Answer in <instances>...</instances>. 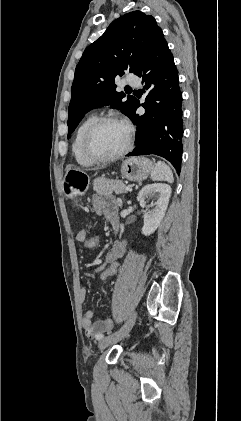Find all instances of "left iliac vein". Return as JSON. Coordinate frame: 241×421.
Listing matches in <instances>:
<instances>
[{
  "mask_svg": "<svg viewBox=\"0 0 241 421\" xmlns=\"http://www.w3.org/2000/svg\"><path fill=\"white\" fill-rule=\"evenodd\" d=\"M136 319L137 313L134 312L126 321V323L117 332L113 333L110 336L104 337L99 341V349L104 350L108 346L113 345L122 340L124 337H126L132 329V327L134 326Z\"/></svg>",
  "mask_w": 241,
  "mask_h": 421,
  "instance_id": "obj_1",
  "label": "left iliac vein"
}]
</instances>
